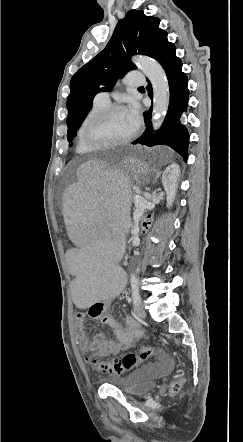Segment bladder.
I'll use <instances>...</instances> for the list:
<instances>
[{"label":"bladder","mask_w":243,"mask_h":442,"mask_svg":"<svg viewBox=\"0 0 243 442\" xmlns=\"http://www.w3.org/2000/svg\"><path fill=\"white\" fill-rule=\"evenodd\" d=\"M170 366L171 362L167 357H159L152 363L135 368L124 377L111 379L109 383L127 395L141 396L154 387L156 379L165 374Z\"/></svg>","instance_id":"31cf9c89"}]
</instances>
